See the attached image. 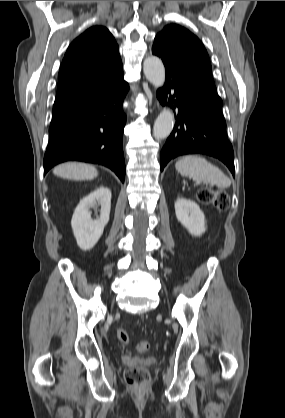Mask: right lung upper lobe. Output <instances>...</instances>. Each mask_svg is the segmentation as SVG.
Instances as JSON below:
<instances>
[{"label":"right lung upper lobe","mask_w":285,"mask_h":418,"mask_svg":"<svg viewBox=\"0 0 285 418\" xmlns=\"http://www.w3.org/2000/svg\"><path fill=\"white\" fill-rule=\"evenodd\" d=\"M123 77L119 47L103 26H93L68 47L58 74L53 110L75 104Z\"/></svg>","instance_id":"right-lung-upper-lobe-1"}]
</instances>
